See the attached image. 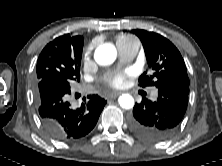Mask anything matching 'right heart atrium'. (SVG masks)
Wrapping results in <instances>:
<instances>
[{
  "instance_id": "obj_1",
  "label": "right heart atrium",
  "mask_w": 222,
  "mask_h": 166,
  "mask_svg": "<svg viewBox=\"0 0 222 166\" xmlns=\"http://www.w3.org/2000/svg\"><path fill=\"white\" fill-rule=\"evenodd\" d=\"M90 52H91L90 49H88V50L86 51V53H85V58H87V57L90 55Z\"/></svg>"
}]
</instances>
